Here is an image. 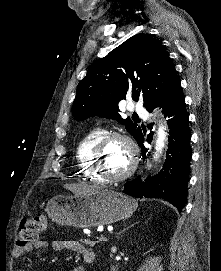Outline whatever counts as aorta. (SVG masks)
<instances>
[{"mask_svg":"<svg viewBox=\"0 0 221 271\" xmlns=\"http://www.w3.org/2000/svg\"><path fill=\"white\" fill-rule=\"evenodd\" d=\"M166 128L164 126H160L157 131V140H156V153L154 155V159H158L163 147L165 146V140H166Z\"/></svg>","mask_w":221,"mask_h":271,"instance_id":"762f6f07","label":"aorta"}]
</instances>
